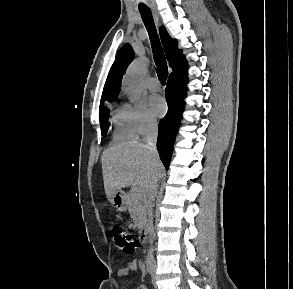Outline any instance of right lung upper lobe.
<instances>
[{
  "label": "right lung upper lobe",
  "instance_id": "right-lung-upper-lobe-1",
  "mask_svg": "<svg viewBox=\"0 0 293 289\" xmlns=\"http://www.w3.org/2000/svg\"><path fill=\"white\" fill-rule=\"evenodd\" d=\"M161 41L166 53L167 60L173 69L170 77H185L187 76V62L182 50L178 49L177 41L172 39L165 27L160 28ZM134 59V51L129 44L124 45L117 53L115 61L109 71L101 101L116 98L120 92L121 80L128 65Z\"/></svg>",
  "mask_w": 293,
  "mask_h": 289
}]
</instances>
